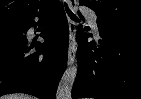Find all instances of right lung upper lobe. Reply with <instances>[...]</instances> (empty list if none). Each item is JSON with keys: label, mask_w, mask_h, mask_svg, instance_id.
Listing matches in <instances>:
<instances>
[{"label": "right lung upper lobe", "mask_w": 141, "mask_h": 99, "mask_svg": "<svg viewBox=\"0 0 141 99\" xmlns=\"http://www.w3.org/2000/svg\"><path fill=\"white\" fill-rule=\"evenodd\" d=\"M56 3L59 2L57 0H0V23L43 14Z\"/></svg>", "instance_id": "cb5924a9"}]
</instances>
